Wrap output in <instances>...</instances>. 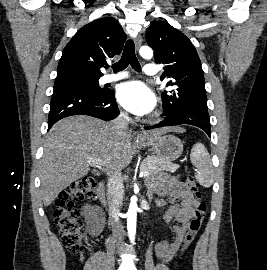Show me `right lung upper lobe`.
<instances>
[{
	"instance_id": "1",
	"label": "right lung upper lobe",
	"mask_w": 267,
	"mask_h": 270,
	"mask_svg": "<svg viewBox=\"0 0 267 270\" xmlns=\"http://www.w3.org/2000/svg\"><path fill=\"white\" fill-rule=\"evenodd\" d=\"M126 34L112 17L100 18L77 31L63 50L57 67V77L83 75L101 77L100 68L106 59L122 51Z\"/></svg>"
}]
</instances>
